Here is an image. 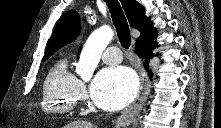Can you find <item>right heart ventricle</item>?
Listing matches in <instances>:
<instances>
[{
	"label": "right heart ventricle",
	"instance_id": "e07e8e85",
	"mask_svg": "<svg viewBox=\"0 0 221 128\" xmlns=\"http://www.w3.org/2000/svg\"><path fill=\"white\" fill-rule=\"evenodd\" d=\"M68 56H61L50 66L43 83L42 111L47 115L64 116L72 112L79 99L77 83Z\"/></svg>",
	"mask_w": 221,
	"mask_h": 128
}]
</instances>
